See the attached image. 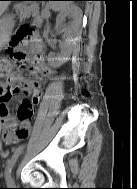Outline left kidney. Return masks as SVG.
Returning a JSON list of instances; mask_svg holds the SVG:
<instances>
[{"label":"left kidney","instance_id":"1","mask_svg":"<svg viewBox=\"0 0 137 189\" xmlns=\"http://www.w3.org/2000/svg\"><path fill=\"white\" fill-rule=\"evenodd\" d=\"M67 16L77 19L79 17V11L74 6H68L63 11H61L57 16V20H56L57 25L60 26ZM69 56H70L69 51H64L57 57H55L53 54H50L48 61L52 63L54 66H60L69 59Z\"/></svg>","mask_w":137,"mask_h":189}]
</instances>
